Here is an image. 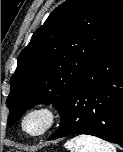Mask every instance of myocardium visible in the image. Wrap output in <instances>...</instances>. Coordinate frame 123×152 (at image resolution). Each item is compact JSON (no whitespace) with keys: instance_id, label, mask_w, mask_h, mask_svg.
I'll return each mask as SVG.
<instances>
[{"instance_id":"f54148a6","label":"myocardium","mask_w":123,"mask_h":152,"mask_svg":"<svg viewBox=\"0 0 123 152\" xmlns=\"http://www.w3.org/2000/svg\"><path fill=\"white\" fill-rule=\"evenodd\" d=\"M43 114L46 117V123L44 125V127L37 131V132H30L27 127H26V123L27 120L34 114ZM59 118L58 112L57 110L51 106V105H47V104H40L37 105L31 109H29L23 116L22 118V122H21V126L23 131L32 137H39V136H43L44 134L48 133L57 123Z\"/></svg>"}]
</instances>
